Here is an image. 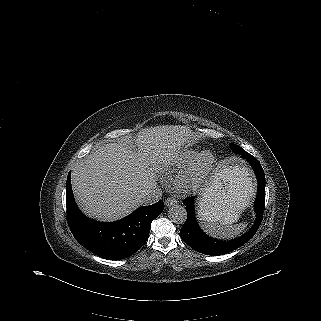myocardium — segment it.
I'll use <instances>...</instances> for the list:
<instances>
[{
  "mask_svg": "<svg viewBox=\"0 0 321 321\" xmlns=\"http://www.w3.org/2000/svg\"><path fill=\"white\" fill-rule=\"evenodd\" d=\"M213 155L208 151L198 154L193 164L174 179V186L181 192H190L198 188L211 170Z\"/></svg>",
  "mask_w": 321,
  "mask_h": 321,
  "instance_id": "obj_1",
  "label": "myocardium"
}]
</instances>
